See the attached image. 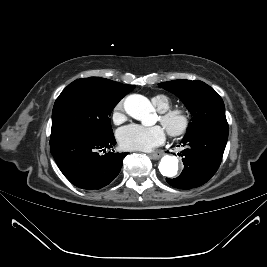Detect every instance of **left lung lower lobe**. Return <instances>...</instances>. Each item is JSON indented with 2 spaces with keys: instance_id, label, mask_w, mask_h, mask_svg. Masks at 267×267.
<instances>
[{
  "instance_id": "1",
  "label": "left lung lower lobe",
  "mask_w": 267,
  "mask_h": 267,
  "mask_svg": "<svg viewBox=\"0 0 267 267\" xmlns=\"http://www.w3.org/2000/svg\"><path fill=\"white\" fill-rule=\"evenodd\" d=\"M228 130L208 129L186 136L181 152L184 170L179 177L166 178L173 187L191 189L206 183L217 171L227 143ZM179 146V145H178Z\"/></svg>"
}]
</instances>
